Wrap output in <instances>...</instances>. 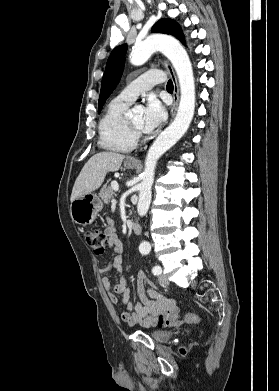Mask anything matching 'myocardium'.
I'll return each instance as SVG.
<instances>
[{
    "mask_svg": "<svg viewBox=\"0 0 279 391\" xmlns=\"http://www.w3.org/2000/svg\"><path fill=\"white\" fill-rule=\"evenodd\" d=\"M127 123H128V126L133 134V136L136 138V139H139L143 136V130L139 127H137L132 121L130 118L127 117Z\"/></svg>",
    "mask_w": 279,
    "mask_h": 391,
    "instance_id": "myocardium-1",
    "label": "myocardium"
}]
</instances>
